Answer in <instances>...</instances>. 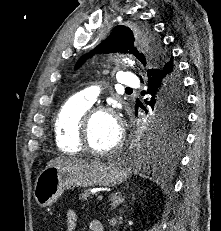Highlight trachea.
<instances>
[{
	"label": "trachea",
	"mask_w": 221,
	"mask_h": 231,
	"mask_svg": "<svg viewBox=\"0 0 221 231\" xmlns=\"http://www.w3.org/2000/svg\"><path fill=\"white\" fill-rule=\"evenodd\" d=\"M126 90H131V91H132V89H131V88H126Z\"/></svg>",
	"instance_id": "1"
}]
</instances>
